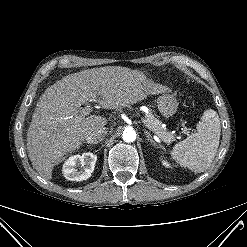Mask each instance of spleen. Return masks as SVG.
<instances>
[{
  "label": "spleen",
  "instance_id": "spleen-1",
  "mask_svg": "<svg viewBox=\"0 0 247 247\" xmlns=\"http://www.w3.org/2000/svg\"><path fill=\"white\" fill-rule=\"evenodd\" d=\"M196 129L173 147L171 156L181 166L201 173L210 166L219 147L221 127L217 112L206 110Z\"/></svg>",
  "mask_w": 247,
  "mask_h": 247
}]
</instances>
